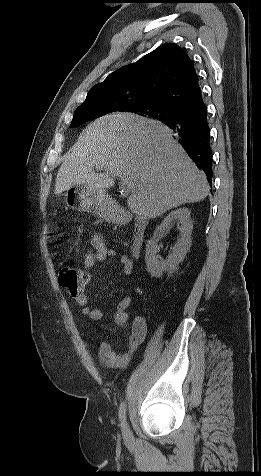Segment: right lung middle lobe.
Masks as SVG:
<instances>
[{"instance_id":"right-lung-middle-lobe-1","label":"right lung middle lobe","mask_w":261,"mask_h":476,"mask_svg":"<svg viewBox=\"0 0 261 476\" xmlns=\"http://www.w3.org/2000/svg\"><path fill=\"white\" fill-rule=\"evenodd\" d=\"M116 111H124L122 107L118 104H107L101 102L95 103H88L85 105L79 106L75 113L71 123V127L78 126L86 121L95 119L102 115L116 112ZM139 115H145L157 119L159 121H163L166 118H171L178 113H180V109L174 108L167 105H148L141 107L136 112Z\"/></svg>"}]
</instances>
